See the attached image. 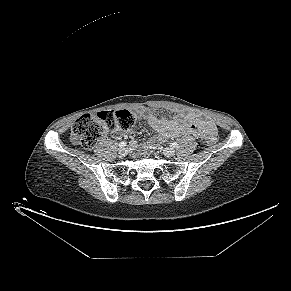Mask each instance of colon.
I'll return each instance as SVG.
<instances>
[{
	"label": "colon",
	"instance_id": "colon-1",
	"mask_svg": "<svg viewBox=\"0 0 291 291\" xmlns=\"http://www.w3.org/2000/svg\"><path fill=\"white\" fill-rule=\"evenodd\" d=\"M136 115L128 110L102 111L95 115L85 114L78 118L71 130L74 142L90 149L103 137L114 130H128L136 122ZM208 144H215L218 139L217 131H211L204 136Z\"/></svg>",
	"mask_w": 291,
	"mask_h": 291
}]
</instances>
